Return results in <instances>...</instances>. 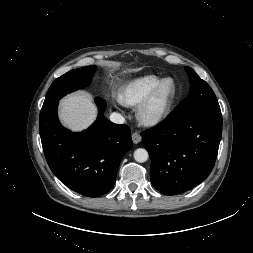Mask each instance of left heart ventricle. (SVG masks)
Segmentation results:
<instances>
[{"label": "left heart ventricle", "mask_w": 253, "mask_h": 253, "mask_svg": "<svg viewBox=\"0 0 253 253\" xmlns=\"http://www.w3.org/2000/svg\"><path fill=\"white\" fill-rule=\"evenodd\" d=\"M171 91H172V84L168 82L162 89L158 103H161L171 93Z\"/></svg>", "instance_id": "obj_1"}]
</instances>
